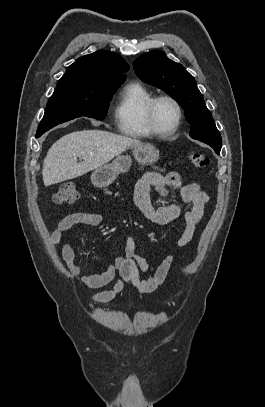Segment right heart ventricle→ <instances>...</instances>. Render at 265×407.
I'll return each instance as SVG.
<instances>
[{"label": "right heart ventricle", "mask_w": 265, "mask_h": 407, "mask_svg": "<svg viewBox=\"0 0 265 407\" xmlns=\"http://www.w3.org/2000/svg\"><path fill=\"white\" fill-rule=\"evenodd\" d=\"M154 94L143 84L132 82L121 91L114 109L120 133L133 138H147L154 134L146 121V108Z\"/></svg>", "instance_id": "obj_1"}]
</instances>
